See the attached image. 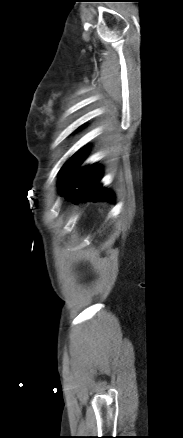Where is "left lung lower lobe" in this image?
Masks as SVG:
<instances>
[{
  "instance_id": "left-lung-lower-lobe-1",
  "label": "left lung lower lobe",
  "mask_w": 183,
  "mask_h": 438,
  "mask_svg": "<svg viewBox=\"0 0 183 438\" xmlns=\"http://www.w3.org/2000/svg\"><path fill=\"white\" fill-rule=\"evenodd\" d=\"M86 152L85 148L79 150L63 165L60 192L67 201L75 204L81 200L114 202L113 193L99 184L102 176L99 166L91 165L78 170Z\"/></svg>"
}]
</instances>
